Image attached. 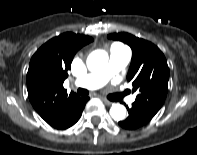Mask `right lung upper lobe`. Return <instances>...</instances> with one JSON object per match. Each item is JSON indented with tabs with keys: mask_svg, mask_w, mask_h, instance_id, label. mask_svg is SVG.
I'll list each match as a JSON object with an SVG mask.
<instances>
[{
	"mask_svg": "<svg viewBox=\"0 0 197 155\" xmlns=\"http://www.w3.org/2000/svg\"><path fill=\"white\" fill-rule=\"evenodd\" d=\"M92 41L89 36L63 33L41 46L30 60L28 97L37 113L51 126L78 97L73 92L67 94L63 82L75 53Z\"/></svg>",
	"mask_w": 197,
	"mask_h": 155,
	"instance_id": "right-lung-upper-lobe-1",
	"label": "right lung upper lobe"
}]
</instances>
